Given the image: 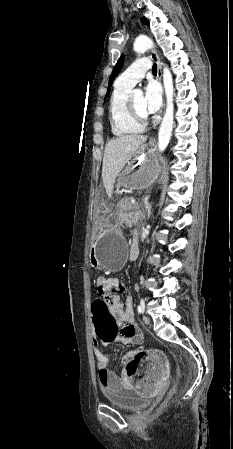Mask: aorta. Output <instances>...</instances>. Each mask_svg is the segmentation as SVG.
<instances>
[{
	"mask_svg": "<svg viewBox=\"0 0 233 449\" xmlns=\"http://www.w3.org/2000/svg\"><path fill=\"white\" fill-rule=\"evenodd\" d=\"M153 47V41L146 36L138 37L134 43V50L137 53H144ZM163 83L166 94V111L158 132V148L161 152L164 151L169 144L174 123L173 79L168 67H164L163 69ZM135 94L140 95L142 92L137 89L135 90Z\"/></svg>",
	"mask_w": 233,
	"mask_h": 449,
	"instance_id": "obj_1",
	"label": "aorta"
}]
</instances>
